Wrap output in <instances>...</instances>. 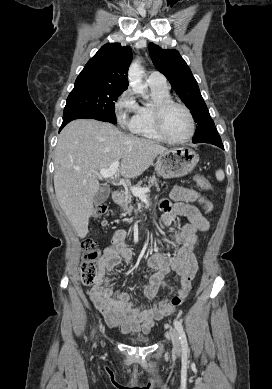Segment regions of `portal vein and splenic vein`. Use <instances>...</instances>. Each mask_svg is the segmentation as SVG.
<instances>
[{"mask_svg":"<svg viewBox=\"0 0 272 389\" xmlns=\"http://www.w3.org/2000/svg\"><path fill=\"white\" fill-rule=\"evenodd\" d=\"M119 167V161H115L111 164V166L108 169H101L99 171V175L104 178L112 177L116 174ZM131 192L134 196L142 197L147 192H149V188H137V187H131Z\"/></svg>","mask_w":272,"mask_h":389,"instance_id":"18ae733b","label":"portal vein and splenic vein"}]
</instances>
